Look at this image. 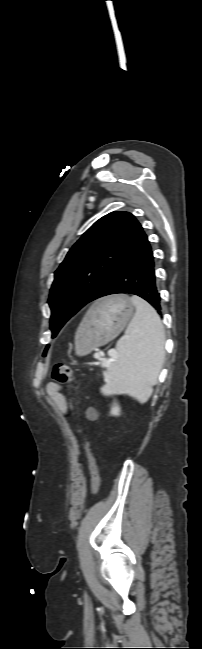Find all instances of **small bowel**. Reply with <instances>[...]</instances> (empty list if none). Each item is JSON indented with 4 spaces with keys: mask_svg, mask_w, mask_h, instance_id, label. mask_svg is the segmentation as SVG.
Listing matches in <instances>:
<instances>
[{
    "mask_svg": "<svg viewBox=\"0 0 202 649\" xmlns=\"http://www.w3.org/2000/svg\"><path fill=\"white\" fill-rule=\"evenodd\" d=\"M47 393L53 404L64 413L66 411V398L61 390V386L51 382L47 386Z\"/></svg>",
    "mask_w": 202,
    "mask_h": 649,
    "instance_id": "small-bowel-1",
    "label": "small bowel"
}]
</instances>
